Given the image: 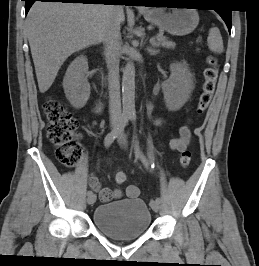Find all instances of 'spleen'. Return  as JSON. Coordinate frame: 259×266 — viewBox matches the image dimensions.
<instances>
[{"label": "spleen", "mask_w": 259, "mask_h": 266, "mask_svg": "<svg viewBox=\"0 0 259 266\" xmlns=\"http://www.w3.org/2000/svg\"><path fill=\"white\" fill-rule=\"evenodd\" d=\"M207 43L209 49L214 53L220 54L224 51L221 33L217 27H212L209 30Z\"/></svg>", "instance_id": "1"}]
</instances>
